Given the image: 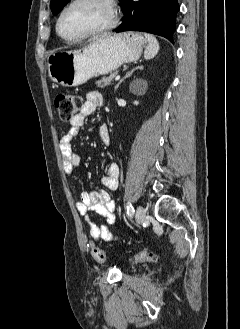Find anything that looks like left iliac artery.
Wrapping results in <instances>:
<instances>
[{"mask_svg": "<svg viewBox=\"0 0 240 329\" xmlns=\"http://www.w3.org/2000/svg\"><path fill=\"white\" fill-rule=\"evenodd\" d=\"M127 214L128 216L131 218L134 214V208L133 206L131 205V203H128L127 204Z\"/></svg>", "mask_w": 240, "mask_h": 329, "instance_id": "1", "label": "left iliac artery"}]
</instances>
